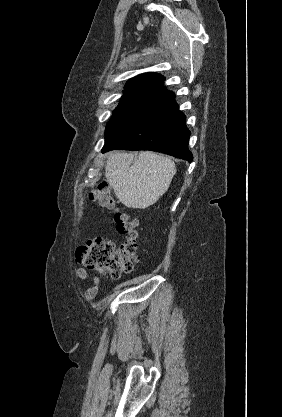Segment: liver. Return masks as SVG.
<instances>
[{"label":"liver","mask_w":282,"mask_h":417,"mask_svg":"<svg viewBox=\"0 0 282 417\" xmlns=\"http://www.w3.org/2000/svg\"><path fill=\"white\" fill-rule=\"evenodd\" d=\"M112 152L106 160L105 176L117 198L129 209H146L166 192L175 172V162L151 150Z\"/></svg>","instance_id":"1"}]
</instances>
